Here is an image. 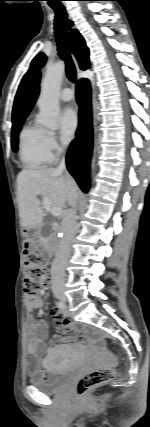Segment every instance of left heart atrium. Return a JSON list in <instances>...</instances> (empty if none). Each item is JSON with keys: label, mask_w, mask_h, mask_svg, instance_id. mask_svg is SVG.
Returning a JSON list of instances; mask_svg holds the SVG:
<instances>
[{"label": "left heart atrium", "mask_w": 150, "mask_h": 427, "mask_svg": "<svg viewBox=\"0 0 150 427\" xmlns=\"http://www.w3.org/2000/svg\"><path fill=\"white\" fill-rule=\"evenodd\" d=\"M59 122L62 140L64 142L70 141L78 126V118L75 110L71 107L65 108L60 114Z\"/></svg>", "instance_id": "1"}]
</instances>
